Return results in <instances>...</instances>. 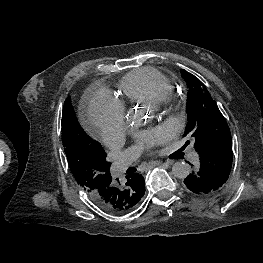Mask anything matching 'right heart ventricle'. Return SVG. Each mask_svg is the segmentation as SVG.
Instances as JSON below:
<instances>
[{"instance_id": "1", "label": "right heart ventricle", "mask_w": 263, "mask_h": 263, "mask_svg": "<svg viewBox=\"0 0 263 263\" xmlns=\"http://www.w3.org/2000/svg\"><path fill=\"white\" fill-rule=\"evenodd\" d=\"M119 89L130 102L153 105L168 97L173 91V85L158 69L144 67L125 74Z\"/></svg>"}]
</instances>
